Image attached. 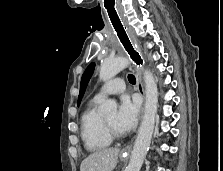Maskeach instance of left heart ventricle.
Wrapping results in <instances>:
<instances>
[{"mask_svg":"<svg viewBox=\"0 0 223 171\" xmlns=\"http://www.w3.org/2000/svg\"><path fill=\"white\" fill-rule=\"evenodd\" d=\"M104 118H105V120L108 122V124L112 127V129H113L115 132H117V133H121V132L116 128V125H115V119H116V113H115V112L106 115Z\"/></svg>","mask_w":223,"mask_h":171,"instance_id":"b2bd125f","label":"left heart ventricle"}]
</instances>
